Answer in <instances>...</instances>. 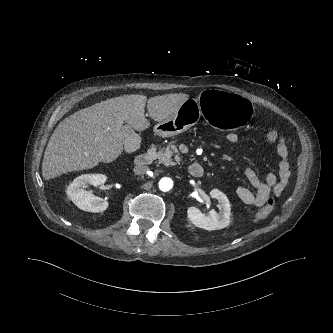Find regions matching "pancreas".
<instances>
[{"instance_id":"obj_1","label":"pancreas","mask_w":333,"mask_h":333,"mask_svg":"<svg viewBox=\"0 0 333 333\" xmlns=\"http://www.w3.org/2000/svg\"><path fill=\"white\" fill-rule=\"evenodd\" d=\"M174 156L175 162L172 157ZM159 163L166 166L179 164L181 159L178 155V149L173 143H169L165 149H160L157 152Z\"/></svg>"}]
</instances>
